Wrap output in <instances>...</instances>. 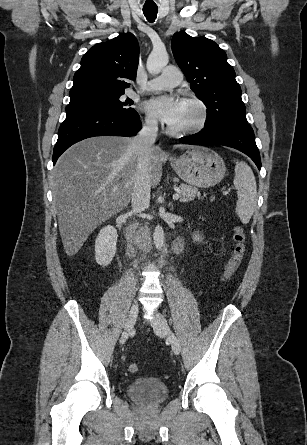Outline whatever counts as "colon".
<instances>
[{"instance_id":"obj_1","label":"colon","mask_w":307,"mask_h":445,"mask_svg":"<svg viewBox=\"0 0 307 445\" xmlns=\"http://www.w3.org/2000/svg\"><path fill=\"white\" fill-rule=\"evenodd\" d=\"M233 239V251L232 254L225 266V270L223 273V280L228 281L230 280L235 272L237 271L244 253H245V242H246V235L244 232V229L241 226H236L233 230L232 234ZM128 371L130 373H137L139 372V365L136 363H132L128 366Z\"/></svg>"}]
</instances>
